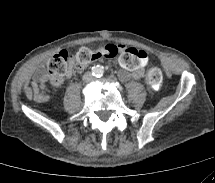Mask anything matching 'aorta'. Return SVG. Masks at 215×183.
Returning a JSON list of instances; mask_svg holds the SVG:
<instances>
[{"mask_svg":"<svg viewBox=\"0 0 215 183\" xmlns=\"http://www.w3.org/2000/svg\"><path fill=\"white\" fill-rule=\"evenodd\" d=\"M102 69L100 66H97L96 70Z\"/></svg>","mask_w":215,"mask_h":183,"instance_id":"obj_1","label":"aorta"}]
</instances>
